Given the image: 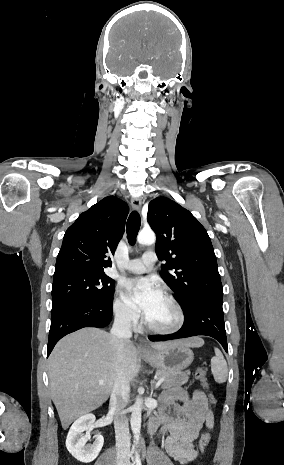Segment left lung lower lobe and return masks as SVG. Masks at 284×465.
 <instances>
[{
    "label": "left lung lower lobe",
    "instance_id": "obj_1",
    "mask_svg": "<svg viewBox=\"0 0 284 465\" xmlns=\"http://www.w3.org/2000/svg\"><path fill=\"white\" fill-rule=\"evenodd\" d=\"M184 307L185 321L182 328L174 334L151 336V341H166L197 335L215 338L228 352L222 300L215 298H197Z\"/></svg>",
    "mask_w": 284,
    "mask_h": 465
}]
</instances>
